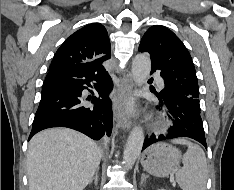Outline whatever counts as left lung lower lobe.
Instances as JSON below:
<instances>
[{"instance_id":"left-lung-lower-lobe-1","label":"left lung lower lobe","mask_w":234,"mask_h":190,"mask_svg":"<svg viewBox=\"0 0 234 190\" xmlns=\"http://www.w3.org/2000/svg\"><path fill=\"white\" fill-rule=\"evenodd\" d=\"M156 70L160 69L156 64L152 63L151 73ZM156 95L161 104L166 106L167 112L170 114L169 117L173 121V125L169 128L166 136L160 135L158 139L155 138V135H152L150 138L147 137L144 141L142 150L157 141L177 137H189L195 139L207 149L200 111L195 110L185 100L174 95L165 88Z\"/></svg>"}]
</instances>
